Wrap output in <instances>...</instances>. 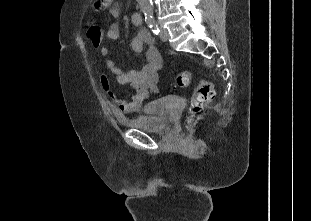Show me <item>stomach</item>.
<instances>
[{
	"mask_svg": "<svg viewBox=\"0 0 311 221\" xmlns=\"http://www.w3.org/2000/svg\"><path fill=\"white\" fill-rule=\"evenodd\" d=\"M95 10H102L105 6H108L110 0H93Z\"/></svg>",
	"mask_w": 311,
	"mask_h": 221,
	"instance_id": "stomach-1",
	"label": "stomach"
}]
</instances>
